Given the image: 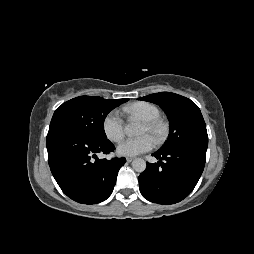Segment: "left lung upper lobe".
Segmentation results:
<instances>
[{"instance_id":"left-lung-upper-lobe-1","label":"left lung upper lobe","mask_w":254,"mask_h":254,"mask_svg":"<svg viewBox=\"0 0 254 254\" xmlns=\"http://www.w3.org/2000/svg\"><path fill=\"white\" fill-rule=\"evenodd\" d=\"M159 105L170 121V133L159 151H169L185 145L208 146L206 125L198 106L181 95L161 92L139 98Z\"/></svg>"}]
</instances>
